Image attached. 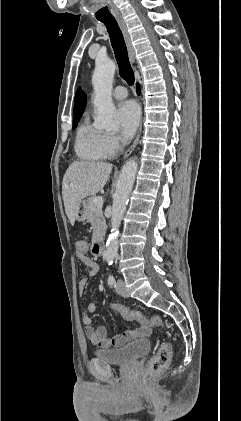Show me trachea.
Wrapping results in <instances>:
<instances>
[{"label": "trachea", "instance_id": "3493384b", "mask_svg": "<svg viewBox=\"0 0 241 421\" xmlns=\"http://www.w3.org/2000/svg\"><path fill=\"white\" fill-rule=\"evenodd\" d=\"M107 28L111 45L115 53V58L119 67L120 76L129 84L134 83V72L130 65L126 44L124 41L123 34L116 22L113 19H101L100 20Z\"/></svg>", "mask_w": 241, "mask_h": 421}]
</instances>
